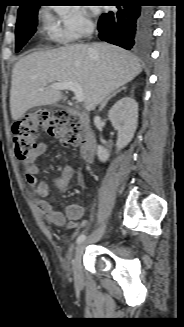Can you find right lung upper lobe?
I'll return each instance as SVG.
<instances>
[{
  "label": "right lung upper lobe",
  "mask_w": 184,
  "mask_h": 327,
  "mask_svg": "<svg viewBox=\"0 0 184 327\" xmlns=\"http://www.w3.org/2000/svg\"><path fill=\"white\" fill-rule=\"evenodd\" d=\"M20 3H21V5H20V8L18 11L26 10L28 8L37 6L35 4V3H37L36 0H21Z\"/></svg>",
  "instance_id": "1"
}]
</instances>
